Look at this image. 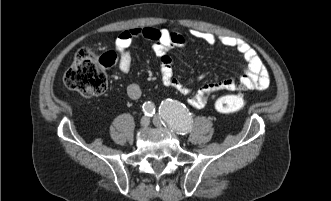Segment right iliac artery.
Wrapping results in <instances>:
<instances>
[{
  "label": "right iliac artery",
  "mask_w": 331,
  "mask_h": 201,
  "mask_svg": "<svg viewBox=\"0 0 331 201\" xmlns=\"http://www.w3.org/2000/svg\"><path fill=\"white\" fill-rule=\"evenodd\" d=\"M143 112L145 113V115L147 116H153V114H155V106L153 103L151 102H145L143 104Z\"/></svg>",
  "instance_id": "82829eb1"
}]
</instances>
